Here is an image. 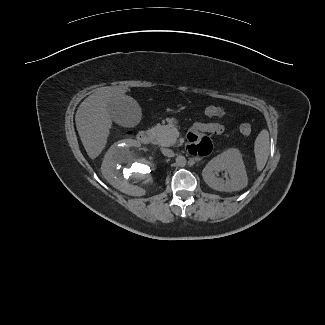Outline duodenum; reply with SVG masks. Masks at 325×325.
Instances as JSON below:
<instances>
[{
	"mask_svg": "<svg viewBox=\"0 0 325 325\" xmlns=\"http://www.w3.org/2000/svg\"><path fill=\"white\" fill-rule=\"evenodd\" d=\"M153 140V134L150 131H141L137 135V141L141 144H149Z\"/></svg>",
	"mask_w": 325,
	"mask_h": 325,
	"instance_id": "duodenum-1",
	"label": "duodenum"
}]
</instances>
